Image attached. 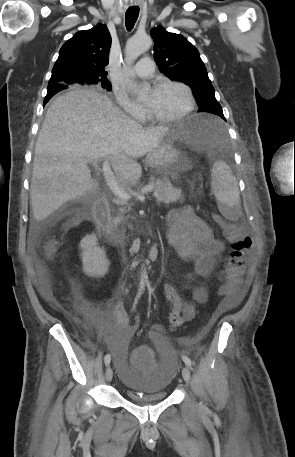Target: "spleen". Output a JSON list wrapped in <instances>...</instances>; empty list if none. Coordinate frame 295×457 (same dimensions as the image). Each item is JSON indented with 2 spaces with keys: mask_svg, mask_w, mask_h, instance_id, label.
<instances>
[{
  "mask_svg": "<svg viewBox=\"0 0 295 457\" xmlns=\"http://www.w3.org/2000/svg\"><path fill=\"white\" fill-rule=\"evenodd\" d=\"M211 189L218 200L220 212L233 219L239 211V188L230 167L222 160H217L212 167Z\"/></svg>",
  "mask_w": 295,
  "mask_h": 457,
  "instance_id": "3e777b00",
  "label": "spleen"
}]
</instances>
